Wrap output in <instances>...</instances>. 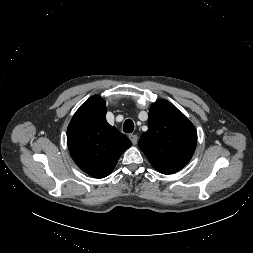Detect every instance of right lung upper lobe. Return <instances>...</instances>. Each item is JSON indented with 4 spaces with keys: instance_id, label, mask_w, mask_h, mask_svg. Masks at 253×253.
Instances as JSON below:
<instances>
[{
    "instance_id": "1",
    "label": "right lung upper lobe",
    "mask_w": 253,
    "mask_h": 253,
    "mask_svg": "<svg viewBox=\"0 0 253 253\" xmlns=\"http://www.w3.org/2000/svg\"><path fill=\"white\" fill-rule=\"evenodd\" d=\"M106 103L94 95L74 114L67 128V144L74 162L95 178L108 176L130 140L106 121Z\"/></svg>"
}]
</instances>
